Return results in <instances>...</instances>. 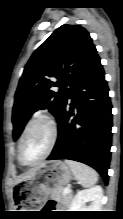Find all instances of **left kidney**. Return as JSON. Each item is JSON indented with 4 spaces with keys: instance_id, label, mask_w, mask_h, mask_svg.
I'll return each mask as SVG.
<instances>
[{
    "instance_id": "5707ae66",
    "label": "left kidney",
    "mask_w": 123,
    "mask_h": 219,
    "mask_svg": "<svg viewBox=\"0 0 123 219\" xmlns=\"http://www.w3.org/2000/svg\"><path fill=\"white\" fill-rule=\"evenodd\" d=\"M103 190L101 186L79 191L72 200L71 211H101ZM91 202L89 207L86 203Z\"/></svg>"
}]
</instances>
